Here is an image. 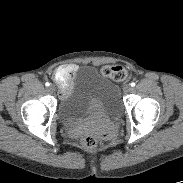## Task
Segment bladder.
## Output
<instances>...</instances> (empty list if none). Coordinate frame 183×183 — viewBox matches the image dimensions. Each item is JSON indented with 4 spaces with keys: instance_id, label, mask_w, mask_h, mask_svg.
Wrapping results in <instances>:
<instances>
[{
    "instance_id": "31cf9c89",
    "label": "bladder",
    "mask_w": 183,
    "mask_h": 183,
    "mask_svg": "<svg viewBox=\"0 0 183 183\" xmlns=\"http://www.w3.org/2000/svg\"><path fill=\"white\" fill-rule=\"evenodd\" d=\"M118 87L108 78H93L61 98L60 111L69 120L105 117L115 119L121 114Z\"/></svg>"
}]
</instances>
